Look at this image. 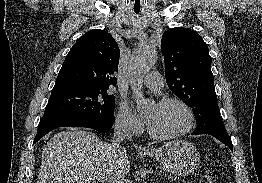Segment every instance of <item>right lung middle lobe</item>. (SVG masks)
<instances>
[{"instance_id":"dd1d6c3e","label":"right lung middle lobe","mask_w":262,"mask_h":183,"mask_svg":"<svg viewBox=\"0 0 262 183\" xmlns=\"http://www.w3.org/2000/svg\"><path fill=\"white\" fill-rule=\"evenodd\" d=\"M108 88H79L51 92L43 118L79 116L88 118L114 117V95Z\"/></svg>"}]
</instances>
